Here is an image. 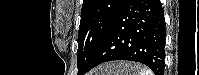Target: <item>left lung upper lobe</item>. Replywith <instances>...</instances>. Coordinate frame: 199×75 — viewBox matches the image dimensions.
Listing matches in <instances>:
<instances>
[{
  "label": "left lung upper lobe",
  "instance_id": "left-lung-upper-lobe-1",
  "mask_svg": "<svg viewBox=\"0 0 199 75\" xmlns=\"http://www.w3.org/2000/svg\"><path fill=\"white\" fill-rule=\"evenodd\" d=\"M124 0H84L78 32V74L91 64Z\"/></svg>",
  "mask_w": 199,
  "mask_h": 75
}]
</instances>
